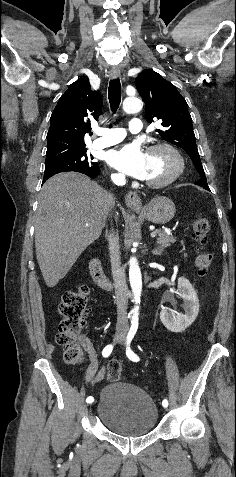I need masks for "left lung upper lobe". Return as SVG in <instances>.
<instances>
[{
  "label": "left lung upper lobe",
  "mask_w": 236,
  "mask_h": 477,
  "mask_svg": "<svg viewBox=\"0 0 236 477\" xmlns=\"http://www.w3.org/2000/svg\"><path fill=\"white\" fill-rule=\"evenodd\" d=\"M135 85L145 101L146 120L149 123L153 119L162 121L163 128L156 131L162 139L186 151L201 176L195 184L209 189L186 100L172 83L150 69L135 78Z\"/></svg>",
  "instance_id": "5c2ea615"
}]
</instances>
